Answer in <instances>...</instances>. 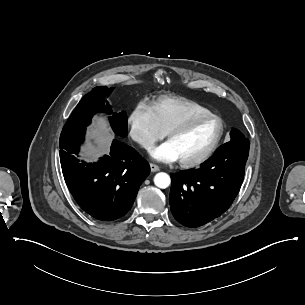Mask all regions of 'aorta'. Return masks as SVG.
I'll list each match as a JSON object with an SVG mask.
<instances>
[{"label": "aorta", "mask_w": 305, "mask_h": 305, "mask_svg": "<svg viewBox=\"0 0 305 305\" xmlns=\"http://www.w3.org/2000/svg\"><path fill=\"white\" fill-rule=\"evenodd\" d=\"M154 183L157 187L165 189L170 185L171 179L167 173L160 172L155 175Z\"/></svg>", "instance_id": "762f6f07"}]
</instances>
